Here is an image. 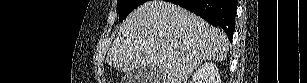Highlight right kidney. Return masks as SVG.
Segmentation results:
<instances>
[{
	"mask_svg": "<svg viewBox=\"0 0 307 83\" xmlns=\"http://www.w3.org/2000/svg\"><path fill=\"white\" fill-rule=\"evenodd\" d=\"M192 83H221L216 64L205 62L193 75Z\"/></svg>",
	"mask_w": 307,
	"mask_h": 83,
	"instance_id": "right-kidney-1",
	"label": "right kidney"
}]
</instances>
